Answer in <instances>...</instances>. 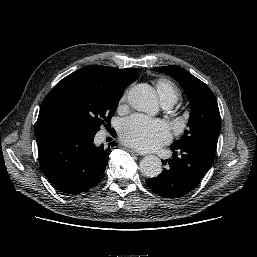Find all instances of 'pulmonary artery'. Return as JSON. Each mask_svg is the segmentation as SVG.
Instances as JSON below:
<instances>
[{
    "instance_id": "pulmonary-artery-1",
    "label": "pulmonary artery",
    "mask_w": 257,
    "mask_h": 257,
    "mask_svg": "<svg viewBox=\"0 0 257 257\" xmlns=\"http://www.w3.org/2000/svg\"><path fill=\"white\" fill-rule=\"evenodd\" d=\"M162 105L165 109H170L172 107V104L170 103H163Z\"/></svg>"
}]
</instances>
